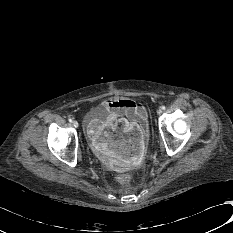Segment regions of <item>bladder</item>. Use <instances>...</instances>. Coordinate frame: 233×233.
Segmentation results:
<instances>
[{
    "label": "bladder",
    "instance_id": "obj_1",
    "mask_svg": "<svg viewBox=\"0 0 233 233\" xmlns=\"http://www.w3.org/2000/svg\"><path fill=\"white\" fill-rule=\"evenodd\" d=\"M94 112L105 114V111L101 108L96 109Z\"/></svg>",
    "mask_w": 233,
    "mask_h": 233
}]
</instances>
